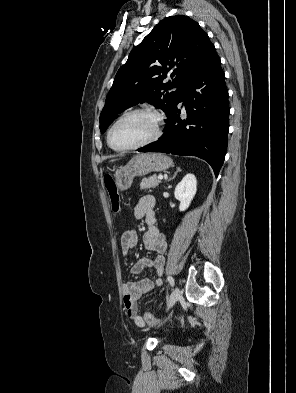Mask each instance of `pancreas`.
I'll return each mask as SVG.
<instances>
[{
	"instance_id": "cf45deb5",
	"label": "pancreas",
	"mask_w": 296,
	"mask_h": 393,
	"mask_svg": "<svg viewBox=\"0 0 296 393\" xmlns=\"http://www.w3.org/2000/svg\"><path fill=\"white\" fill-rule=\"evenodd\" d=\"M160 180L156 175H153L149 178H144L142 182L140 183V188L141 189H150V188H155L160 184Z\"/></svg>"
}]
</instances>
